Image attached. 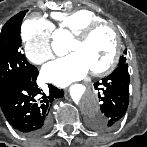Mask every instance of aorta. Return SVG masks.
Instances as JSON below:
<instances>
[{
  "mask_svg": "<svg viewBox=\"0 0 147 147\" xmlns=\"http://www.w3.org/2000/svg\"><path fill=\"white\" fill-rule=\"evenodd\" d=\"M52 48L57 55H63L67 51L66 39L54 38ZM72 99L78 103L82 111L89 117L100 116L99 99L93 90L83 86H76L71 91Z\"/></svg>",
  "mask_w": 147,
  "mask_h": 147,
  "instance_id": "762f6f07",
  "label": "aorta"
}]
</instances>
